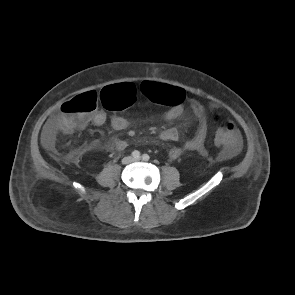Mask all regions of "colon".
Masks as SVG:
<instances>
[{"mask_svg":"<svg viewBox=\"0 0 295 295\" xmlns=\"http://www.w3.org/2000/svg\"><path fill=\"white\" fill-rule=\"evenodd\" d=\"M138 94L161 104L173 105L180 100V92L171 86L146 82L140 88L131 83H117L105 87L99 95L87 92L64 102L60 107L58 127L63 133L78 128L96 109L98 102L111 111H121L133 105ZM219 122L217 116L214 117ZM219 145L232 147L238 141V132L231 122H220L215 133Z\"/></svg>","mask_w":295,"mask_h":295,"instance_id":"colon-1","label":"colon"}]
</instances>
